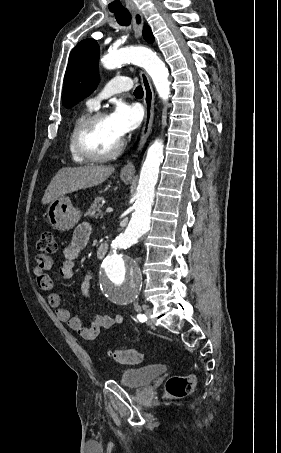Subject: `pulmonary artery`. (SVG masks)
Masks as SVG:
<instances>
[{
    "mask_svg": "<svg viewBox=\"0 0 281 453\" xmlns=\"http://www.w3.org/2000/svg\"><path fill=\"white\" fill-rule=\"evenodd\" d=\"M129 80H130V78H128V77H115V78H112L107 83V85L114 86V89L112 91H110L109 93L99 95L96 98H94L93 100H91L90 106H92L93 108L97 109L100 106V101L101 100L109 97L110 95H112L114 93L127 90L128 89V85H127L126 82L129 81Z\"/></svg>",
    "mask_w": 281,
    "mask_h": 453,
    "instance_id": "1",
    "label": "pulmonary artery"
}]
</instances>
